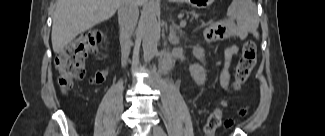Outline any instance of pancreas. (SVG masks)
<instances>
[{"label":"pancreas","instance_id":"pancreas-1","mask_svg":"<svg viewBox=\"0 0 325 136\" xmlns=\"http://www.w3.org/2000/svg\"><path fill=\"white\" fill-rule=\"evenodd\" d=\"M187 15L191 16L186 20L188 24H199L201 22H204L203 12H198V9H188Z\"/></svg>","mask_w":325,"mask_h":136}]
</instances>
